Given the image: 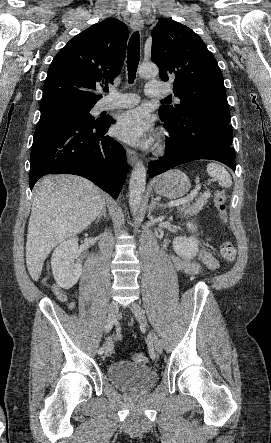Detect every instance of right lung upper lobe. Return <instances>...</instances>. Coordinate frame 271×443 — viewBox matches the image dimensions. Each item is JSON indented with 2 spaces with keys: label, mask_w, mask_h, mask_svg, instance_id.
I'll return each instance as SVG.
<instances>
[{
  "label": "right lung upper lobe",
  "mask_w": 271,
  "mask_h": 443,
  "mask_svg": "<svg viewBox=\"0 0 271 443\" xmlns=\"http://www.w3.org/2000/svg\"><path fill=\"white\" fill-rule=\"evenodd\" d=\"M128 28L107 19L73 37L53 58L44 82L41 103L72 99L96 103L95 91L113 83L126 53Z\"/></svg>",
  "instance_id": "cb5924a9"
}]
</instances>
